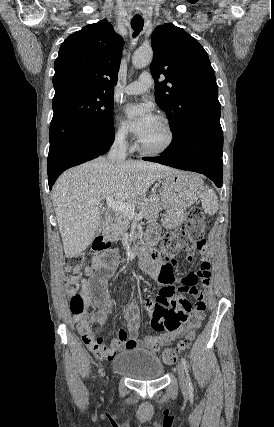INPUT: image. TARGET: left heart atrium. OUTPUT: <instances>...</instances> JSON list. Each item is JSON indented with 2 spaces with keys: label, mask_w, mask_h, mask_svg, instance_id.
<instances>
[{
  "label": "left heart atrium",
  "mask_w": 274,
  "mask_h": 427,
  "mask_svg": "<svg viewBox=\"0 0 274 427\" xmlns=\"http://www.w3.org/2000/svg\"><path fill=\"white\" fill-rule=\"evenodd\" d=\"M124 114L126 126L138 139L145 136L156 119L150 107L145 104L128 105Z\"/></svg>",
  "instance_id": "39dd6f15"
}]
</instances>
